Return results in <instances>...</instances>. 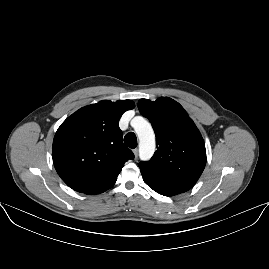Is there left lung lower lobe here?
Masks as SVG:
<instances>
[{
    "instance_id": "1",
    "label": "left lung lower lobe",
    "mask_w": 269,
    "mask_h": 269,
    "mask_svg": "<svg viewBox=\"0 0 269 269\" xmlns=\"http://www.w3.org/2000/svg\"><path fill=\"white\" fill-rule=\"evenodd\" d=\"M144 182L152 188L157 193L164 196H173L179 193L188 191L193 187V185L178 183V182H169L158 180L146 175H142Z\"/></svg>"
}]
</instances>
